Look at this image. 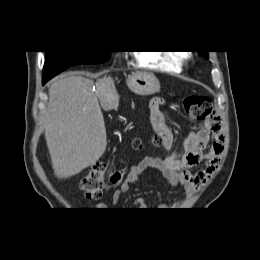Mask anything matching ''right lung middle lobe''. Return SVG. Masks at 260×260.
<instances>
[{
  "label": "right lung middle lobe",
  "instance_id": "right-lung-middle-lobe-1",
  "mask_svg": "<svg viewBox=\"0 0 260 260\" xmlns=\"http://www.w3.org/2000/svg\"><path fill=\"white\" fill-rule=\"evenodd\" d=\"M111 51H46L43 77L51 79L77 64H98L109 59Z\"/></svg>",
  "mask_w": 260,
  "mask_h": 260
}]
</instances>
